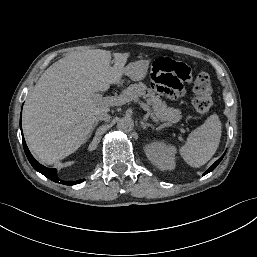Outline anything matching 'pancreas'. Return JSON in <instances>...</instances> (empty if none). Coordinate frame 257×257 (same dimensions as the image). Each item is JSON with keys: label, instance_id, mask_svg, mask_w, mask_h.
I'll return each instance as SVG.
<instances>
[{"label": "pancreas", "instance_id": "obj_1", "mask_svg": "<svg viewBox=\"0 0 257 257\" xmlns=\"http://www.w3.org/2000/svg\"><path fill=\"white\" fill-rule=\"evenodd\" d=\"M123 95L129 98L144 97L148 105L152 106V110L157 119L167 121L169 123H176L181 119V112L178 109L167 107V104L162 101L159 95L152 89H147L142 82L130 85L123 90Z\"/></svg>", "mask_w": 257, "mask_h": 257}]
</instances>
